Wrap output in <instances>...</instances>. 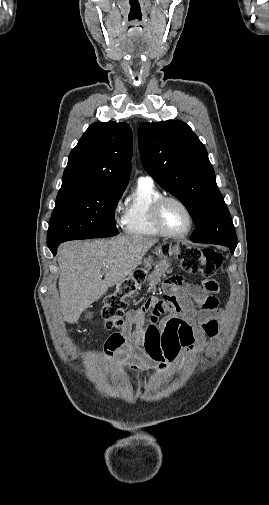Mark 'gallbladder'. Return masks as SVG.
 <instances>
[{
	"label": "gallbladder",
	"mask_w": 269,
	"mask_h": 505,
	"mask_svg": "<svg viewBox=\"0 0 269 505\" xmlns=\"http://www.w3.org/2000/svg\"><path fill=\"white\" fill-rule=\"evenodd\" d=\"M92 313L91 312H86L85 318L86 319H91L92 318Z\"/></svg>",
	"instance_id": "1"
}]
</instances>
